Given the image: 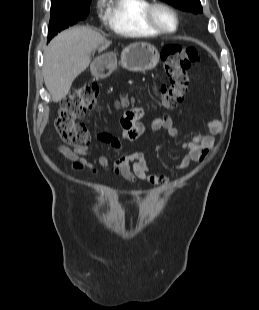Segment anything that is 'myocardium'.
<instances>
[{"label": "myocardium", "instance_id": "myocardium-1", "mask_svg": "<svg viewBox=\"0 0 259 310\" xmlns=\"http://www.w3.org/2000/svg\"><path fill=\"white\" fill-rule=\"evenodd\" d=\"M158 9H163L167 12H169L175 21V26L173 29H167L164 28L163 26H161L155 18V12ZM144 20L146 22V24L152 28L153 30H155L156 32L160 33V34H172L175 33L180 25V19L178 16V13L176 12V10L174 8H172L171 6L165 4V3H161V2H156V3H151L145 10L144 13Z\"/></svg>", "mask_w": 259, "mask_h": 310}]
</instances>
